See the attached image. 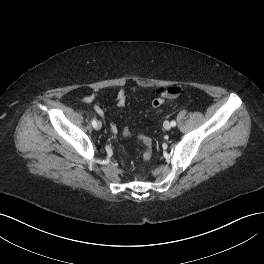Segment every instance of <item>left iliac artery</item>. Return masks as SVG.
Masks as SVG:
<instances>
[{"mask_svg": "<svg viewBox=\"0 0 264 264\" xmlns=\"http://www.w3.org/2000/svg\"><path fill=\"white\" fill-rule=\"evenodd\" d=\"M171 126H176V122L173 120V121H171Z\"/></svg>", "mask_w": 264, "mask_h": 264, "instance_id": "1", "label": "left iliac artery"}]
</instances>
